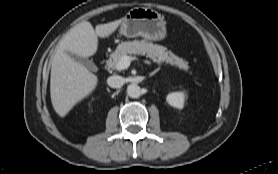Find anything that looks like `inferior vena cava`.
Here are the masks:
<instances>
[{
  "mask_svg": "<svg viewBox=\"0 0 278 174\" xmlns=\"http://www.w3.org/2000/svg\"><path fill=\"white\" fill-rule=\"evenodd\" d=\"M125 79L122 76L113 75L109 77L108 84L112 88H120L124 85Z\"/></svg>",
  "mask_w": 278,
  "mask_h": 174,
  "instance_id": "obj_1",
  "label": "inferior vena cava"
}]
</instances>
